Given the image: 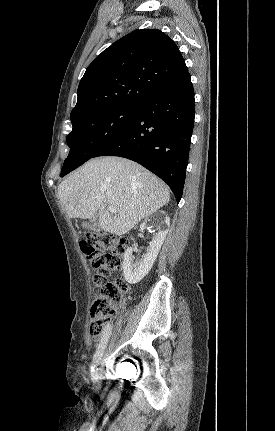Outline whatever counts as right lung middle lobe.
I'll return each mask as SVG.
<instances>
[{
  "mask_svg": "<svg viewBox=\"0 0 275 431\" xmlns=\"http://www.w3.org/2000/svg\"><path fill=\"white\" fill-rule=\"evenodd\" d=\"M137 107L116 106L91 112L72 122L67 136L70 147L60 176L68 174L92 158L103 146L122 132L136 117Z\"/></svg>",
  "mask_w": 275,
  "mask_h": 431,
  "instance_id": "dd1d6c3e",
  "label": "right lung middle lobe"
}]
</instances>
